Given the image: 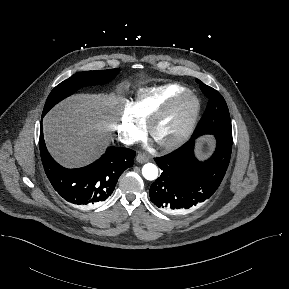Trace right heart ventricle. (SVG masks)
Here are the masks:
<instances>
[{
  "instance_id": "obj_1",
  "label": "right heart ventricle",
  "mask_w": 289,
  "mask_h": 289,
  "mask_svg": "<svg viewBox=\"0 0 289 289\" xmlns=\"http://www.w3.org/2000/svg\"><path fill=\"white\" fill-rule=\"evenodd\" d=\"M184 89L185 86L178 83L141 89L132 103L133 112L142 123H145L167 99Z\"/></svg>"
}]
</instances>
